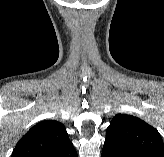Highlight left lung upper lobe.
I'll return each mask as SVG.
<instances>
[{"label":"left lung upper lobe","instance_id":"5c2ea615","mask_svg":"<svg viewBox=\"0 0 164 157\" xmlns=\"http://www.w3.org/2000/svg\"><path fill=\"white\" fill-rule=\"evenodd\" d=\"M105 140L132 157H164L159 132L131 115L117 114L107 128Z\"/></svg>","mask_w":164,"mask_h":157}]
</instances>
